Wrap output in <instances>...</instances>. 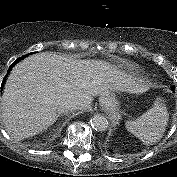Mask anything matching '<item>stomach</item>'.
<instances>
[{
    "label": "stomach",
    "mask_w": 177,
    "mask_h": 177,
    "mask_svg": "<svg viewBox=\"0 0 177 177\" xmlns=\"http://www.w3.org/2000/svg\"><path fill=\"white\" fill-rule=\"evenodd\" d=\"M100 105L106 111L115 112L119 106V101L114 92H109L99 98Z\"/></svg>",
    "instance_id": "0dacf381"
}]
</instances>
